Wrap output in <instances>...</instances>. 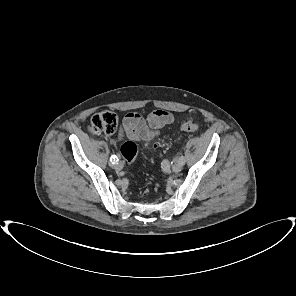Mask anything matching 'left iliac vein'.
<instances>
[{"mask_svg":"<svg viewBox=\"0 0 296 296\" xmlns=\"http://www.w3.org/2000/svg\"><path fill=\"white\" fill-rule=\"evenodd\" d=\"M183 164L180 161H177L173 166H172V171L175 173H178L182 170Z\"/></svg>","mask_w":296,"mask_h":296,"instance_id":"obj_1","label":"left iliac vein"}]
</instances>
